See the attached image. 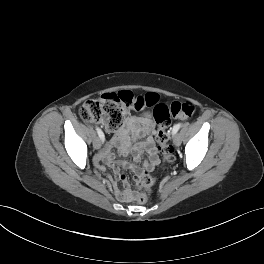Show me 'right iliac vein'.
Returning <instances> with one entry per match:
<instances>
[{"instance_id":"right-iliac-vein-1","label":"right iliac vein","mask_w":264,"mask_h":264,"mask_svg":"<svg viewBox=\"0 0 264 264\" xmlns=\"http://www.w3.org/2000/svg\"><path fill=\"white\" fill-rule=\"evenodd\" d=\"M94 147L96 149H99L101 147V140L99 138L95 139V141H94Z\"/></svg>"}]
</instances>
